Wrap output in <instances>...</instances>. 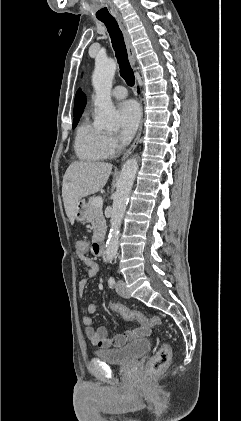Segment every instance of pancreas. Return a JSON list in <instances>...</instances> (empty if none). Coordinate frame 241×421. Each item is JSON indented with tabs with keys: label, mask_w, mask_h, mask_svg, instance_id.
Returning a JSON list of instances; mask_svg holds the SVG:
<instances>
[{
	"label": "pancreas",
	"mask_w": 241,
	"mask_h": 421,
	"mask_svg": "<svg viewBox=\"0 0 241 421\" xmlns=\"http://www.w3.org/2000/svg\"><path fill=\"white\" fill-rule=\"evenodd\" d=\"M94 197H90L87 202V222L93 226V238L102 237L106 232V220L103 216L102 207L93 204Z\"/></svg>",
	"instance_id": "cf45deb5"
}]
</instances>
